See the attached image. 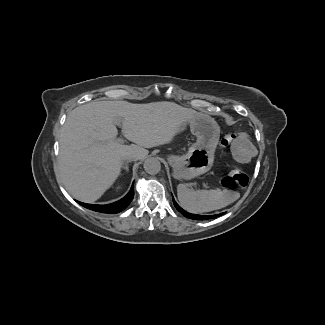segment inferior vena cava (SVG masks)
Returning a JSON list of instances; mask_svg holds the SVG:
<instances>
[{"instance_id":"obj_1","label":"inferior vena cava","mask_w":325,"mask_h":325,"mask_svg":"<svg viewBox=\"0 0 325 325\" xmlns=\"http://www.w3.org/2000/svg\"><path fill=\"white\" fill-rule=\"evenodd\" d=\"M139 155L133 151V150H128L124 153V155L122 156L121 160L125 161V162H133L138 160Z\"/></svg>"}]
</instances>
